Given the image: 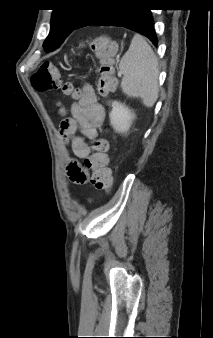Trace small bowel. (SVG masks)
<instances>
[{
    "instance_id": "small-bowel-1",
    "label": "small bowel",
    "mask_w": 213,
    "mask_h": 338,
    "mask_svg": "<svg viewBox=\"0 0 213 338\" xmlns=\"http://www.w3.org/2000/svg\"><path fill=\"white\" fill-rule=\"evenodd\" d=\"M59 112L65 113L61 105H59ZM70 112L71 119L76 126L74 130L61 126L60 132L63 139L70 144L73 155L82 159L90 154L87 140L97 137V127L103 118L104 108L97 102L93 89L90 86H85L81 91L80 98L72 104ZM77 131L80 132V135L76 134ZM71 164H76V162L73 161ZM72 180L84 183L87 181V174L85 172L77 173Z\"/></svg>"
}]
</instances>
